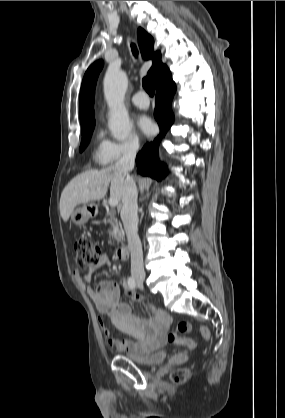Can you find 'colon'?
Segmentation results:
<instances>
[{
  "label": "colon",
  "instance_id": "colon-1",
  "mask_svg": "<svg viewBox=\"0 0 285 418\" xmlns=\"http://www.w3.org/2000/svg\"><path fill=\"white\" fill-rule=\"evenodd\" d=\"M76 262L80 267L89 266L99 259V253L94 244L87 238H79L74 243ZM191 331L190 323L186 321H180L177 323L176 328L169 332L166 336L167 341L175 344L190 345L188 338L182 337L183 334H187ZM201 335L206 341L210 340L211 334L207 327L200 328ZM189 376L187 369L175 370L172 373V380L175 383L184 382Z\"/></svg>",
  "mask_w": 285,
  "mask_h": 418
}]
</instances>
